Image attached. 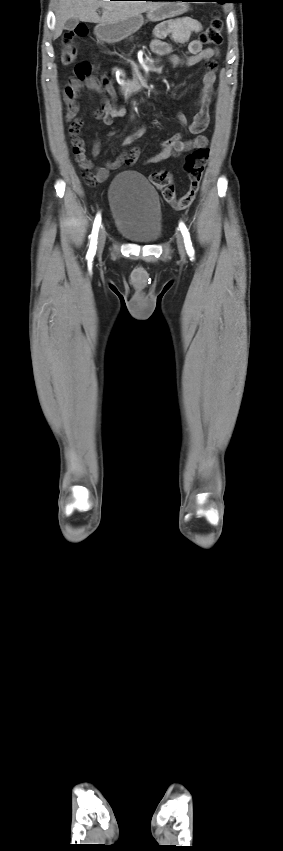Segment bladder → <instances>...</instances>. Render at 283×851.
I'll return each instance as SVG.
<instances>
[{
    "instance_id": "31cf9c89",
    "label": "bladder",
    "mask_w": 283,
    "mask_h": 851,
    "mask_svg": "<svg viewBox=\"0 0 283 851\" xmlns=\"http://www.w3.org/2000/svg\"><path fill=\"white\" fill-rule=\"evenodd\" d=\"M117 231L135 243L152 244L162 235V210L155 188L140 174L122 172L109 187Z\"/></svg>"
}]
</instances>
